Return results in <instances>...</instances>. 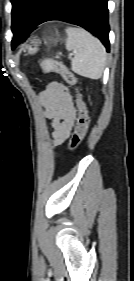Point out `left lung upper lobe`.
Masks as SVG:
<instances>
[{
  "mask_svg": "<svg viewBox=\"0 0 134 281\" xmlns=\"http://www.w3.org/2000/svg\"><path fill=\"white\" fill-rule=\"evenodd\" d=\"M42 1L43 0H11L13 6L12 30L24 31Z\"/></svg>",
  "mask_w": 134,
  "mask_h": 281,
  "instance_id": "1",
  "label": "left lung upper lobe"
}]
</instances>
